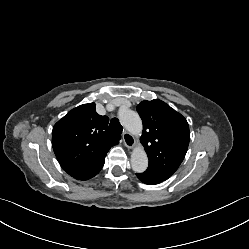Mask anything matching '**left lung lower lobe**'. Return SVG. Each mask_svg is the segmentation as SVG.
Returning <instances> with one entry per match:
<instances>
[{
	"instance_id": "obj_1",
	"label": "left lung lower lobe",
	"mask_w": 249,
	"mask_h": 249,
	"mask_svg": "<svg viewBox=\"0 0 249 249\" xmlns=\"http://www.w3.org/2000/svg\"><path fill=\"white\" fill-rule=\"evenodd\" d=\"M136 175L143 183L149 185L159 184L169 178V176L162 175L148 169L145 172L137 173Z\"/></svg>"
}]
</instances>
